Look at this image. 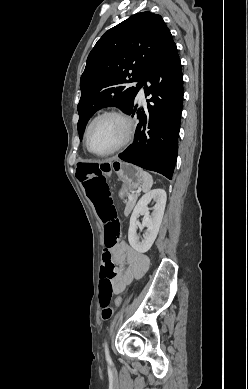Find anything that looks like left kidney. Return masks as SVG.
Masks as SVG:
<instances>
[{"instance_id":"1","label":"left kidney","mask_w":248,"mask_h":389,"mask_svg":"<svg viewBox=\"0 0 248 389\" xmlns=\"http://www.w3.org/2000/svg\"><path fill=\"white\" fill-rule=\"evenodd\" d=\"M166 192L163 189H154L143 195L135 206L130 217V225L128 230V240L133 249L138 252L145 253L153 245L164 215L166 205ZM155 202L153 212L150 215L148 204L151 201ZM140 214H144L142 226L147 227L145 239L140 241L137 235L136 221Z\"/></svg>"}]
</instances>
